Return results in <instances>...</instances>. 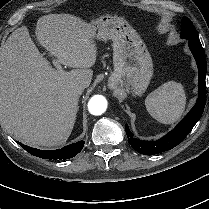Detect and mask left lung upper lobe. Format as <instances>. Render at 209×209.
<instances>
[{"instance_id": "5c2ea615", "label": "left lung upper lobe", "mask_w": 209, "mask_h": 209, "mask_svg": "<svg viewBox=\"0 0 209 209\" xmlns=\"http://www.w3.org/2000/svg\"><path fill=\"white\" fill-rule=\"evenodd\" d=\"M180 36L187 40H199V36L193 23L187 17H183L182 19Z\"/></svg>"}]
</instances>
